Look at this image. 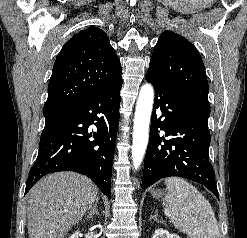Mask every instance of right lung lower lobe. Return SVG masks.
<instances>
[{
    "instance_id": "right-lung-lower-lobe-1",
    "label": "right lung lower lobe",
    "mask_w": 247,
    "mask_h": 238,
    "mask_svg": "<svg viewBox=\"0 0 247 238\" xmlns=\"http://www.w3.org/2000/svg\"><path fill=\"white\" fill-rule=\"evenodd\" d=\"M121 86L122 78L82 103L46 120L39 154L29 172L25 194L46 174L74 171L88 176L110 199ZM93 124L95 131L90 127Z\"/></svg>"
}]
</instances>
